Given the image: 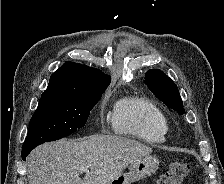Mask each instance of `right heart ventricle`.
Instances as JSON below:
<instances>
[{
    "mask_svg": "<svg viewBox=\"0 0 224 184\" xmlns=\"http://www.w3.org/2000/svg\"><path fill=\"white\" fill-rule=\"evenodd\" d=\"M111 122L115 132L147 143H162L169 132L166 114L150 100L136 95L116 102Z\"/></svg>",
    "mask_w": 224,
    "mask_h": 184,
    "instance_id": "obj_1",
    "label": "right heart ventricle"
}]
</instances>
